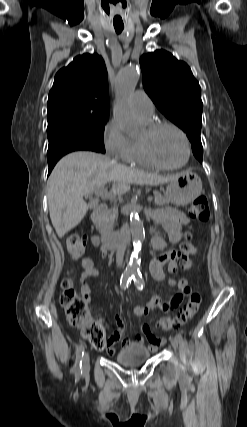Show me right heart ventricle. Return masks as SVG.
I'll use <instances>...</instances> for the list:
<instances>
[{
  "label": "right heart ventricle",
  "instance_id": "right-heart-ventricle-1",
  "mask_svg": "<svg viewBox=\"0 0 247 427\" xmlns=\"http://www.w3.org/2000/svg\"><path fill=\"white\" fill-rule=\"evenodd\" d=\"M146 122L149 123V121H146ZM128 161L136 164H141V165H151L146 160V158L142 153L139 140H135V139L130 140V153H129Z\"/></svg>",
  "mask_w": 247,
  "mask_h": 427
}]
</instances>
